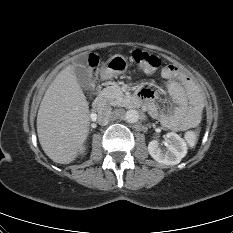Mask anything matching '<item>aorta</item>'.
Masks as SVG:
<instances>
[{
    "label": "aorta",
    "instance_id": "762f6f07",
    "mask_svg": "<svg viewBox=\"0 0 233 233\" xmlns=\"http://www.w3.org/2000/svg\"><path fill=\"white\" fill-rule=\"evenodd\" d=\"M124 119L128 122V123H135L138 121L139 119V113L136 110H128L126 111V113L124 114Z\"/></svg>",
    "mask_w": 233,
    "mask_h": 233
}]
</instances>
